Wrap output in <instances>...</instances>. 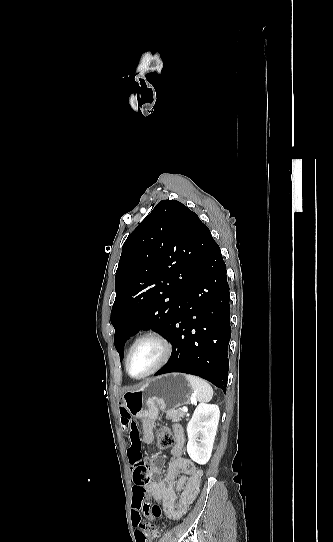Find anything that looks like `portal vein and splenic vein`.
<instances>
[{"instance_id":"obj_1","label":"portal vein and splenic vein","mask_w":333,"mask_h":542,"mask_svg":"<svg viewBox=\"0 0 333 542\" xmlns=\"http://www.w3.org/2000/svg\"><path fill=\"white\" fill-rule=\"evenodd\" d=\"M182 412H188V408H186V406H183Z\"/></svg>"}]
</instances>
